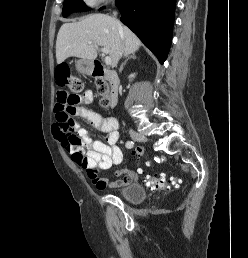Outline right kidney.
<instances>
[{"label": "right kidney", "instance_id": "ca27d5eb", "mask_svg": "<svg viewBox=\"0 0 248 258\" xmlns=\"http://www.w3.org/2000/svg\"><path fill=\"white\" fill-rule=\"evenodd\" d=\"M134 77H135V74H131V75L129 76L130 79H132V78H134Z\"/></svg>", "mask_w": 248, "mask_h": 258}]
</instances>
